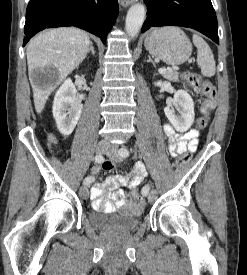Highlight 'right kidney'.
I'll return each mask as SVG.
<instances>
[{
    "label": "right kidney",
    "instance_id": "obj_1",
    "mask_svg": "<svg viewBox=\"0 0 247 275\" xmlns=\"http://www.w3.org/2000/svg\"><path fill=\"white\" fill-rule=\"evenodd\" d=\"M76 88L71 79H67L57 90L53 101V116L60 133L69 136L82 112V104L77 100Z\"/></svg>",
    "mask_w": 247,
    "mask_h": 275
}]
</instances>
